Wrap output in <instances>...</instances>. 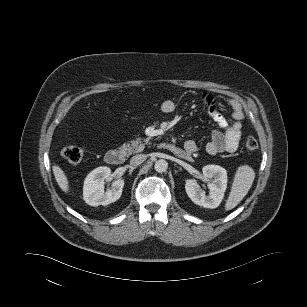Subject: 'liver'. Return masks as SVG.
<instances>
[{
    "label": "liver",
    "instance_id": "1",
    "mask_svg": "<svg viewBox=\"0 0 307 307\" xmlns=\"http://www.w3.org/2000/svg\"><path fill=\"white\" fill-rule=\"evenodd\" d=\"M53 174L55 176L56 182L59 185L60 189L68 193L69 191V181L64 171L57 165L52 166Z\"/></svg>",
    "mask_w": 307,
    "mask_h": 307
}]
</instances>
